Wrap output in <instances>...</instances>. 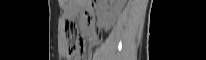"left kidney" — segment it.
<instances>
[{
  "label": "left kidney",
  "mask_w": 206,
  "mask_h": 60,
  "mask_svg": "<svg viewBox=\"0 0 206 60\" xmlns=\"http://www.w3.org/2000/svg\"><path fill=\"white\" fill-rule=\"evenodd\" d=\"M123 3L124 0H115V5L110 11L102 9L99 14V20L105 29H109L111 27L117 15L120 13Z\"/></svg>",
  "instance_id": "1"
}]
</instances>
